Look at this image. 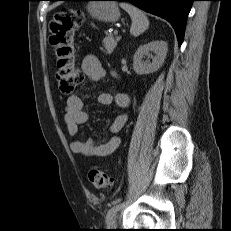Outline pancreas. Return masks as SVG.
Instances as JSON below:
<instances>
[{"label":"pancreas","mask_w":231,"mask_h":231,"mask_svg":"<svg viewBox=\"0 0 231 231\" xmlns=\"http://www.w3.org/2000/svg\"><path fill=\"white\" fill-rule=\"evenodd\" d=\"M119 40H120L119 37H114L111 34L106 36L102 41V45H103V47L105 49L104 52L106 54H111L113 52V50L115 49V47L117 46V42Z\"/></svg>","instance_id":"cf45deb5"}]
</instances>
